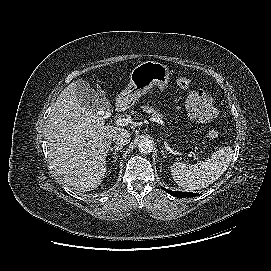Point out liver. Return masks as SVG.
Listing matches in <instances>:
<instances>
[{
    "mask_svg": "<svg viewBox=\"0 0 271 271\" xmlns=\"http://www.w3.org/2000/svg\"><path fill=\"white\" fill-rule=\"evenodd\" d=\"M70 83L58 96L47 122L49 162L56 175L74 189L98 187L106 173L112 137L122 129L107 125L98 112L81 105Z\"/></svg>",
    "mask_w": 271,
    "mask_h": 271,
    "instance_id": "liver-1",
    "label": "liver"
}]
</instances>
